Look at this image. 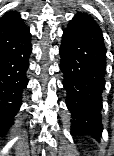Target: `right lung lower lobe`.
Segmentation results:
<instances>
[{
    "instance_id": "98d812e1",
    "label": "right lung lower lobe",
    "mask_w": 114,
    "mask_h": 156,
    "mask_svg": "<svg viewBox=\"0 0 114 156\" xmlns=\"http://www.w3.org/2000/svg\"><path fill=\"white\" fill-rule=\"evenodd\" d=\"M31 50L29 28L16 12L6 13L0 19V136L13 125L22 104Z\"/></svg>"
}]
</instances>
